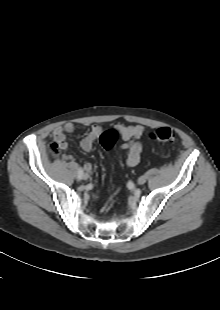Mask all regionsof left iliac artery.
<instances>
[{
    "label": "left iliac artery",
    "mask_w": 220,
    "mask_h": 310,
    "mask_svg": "<svg viewBox=\"0 0 220 310\" xmlns=\"http://www.w3.org/2000/svg\"><path fill=\"white\" fill-rule=\"evenodd\" d=\"M127 188H128L129 190L134 189V182H133V181H128V183H127Z\"/></svg>",
    "instance_id": "1"
}]
</instances>
